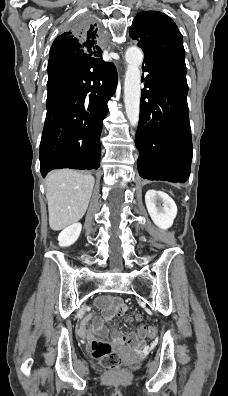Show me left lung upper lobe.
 <instances>
[{"label": "left lung upper lobe", "instance_id": "obj_1", "mask_svg": "<svg viewBox=\"0 0 228 396\" xmlns=\"http://www.w3.org/2000/svg\"><path fill=\"white\" fill-rule=\"evenodd\" d=\"M129 33L144 52V64L148 61L161 62L186 75L183 37L166 14L159 11L138 13Z\"/></svg>", "mask_w": 228, "mask_h": 396}]
</instances>
